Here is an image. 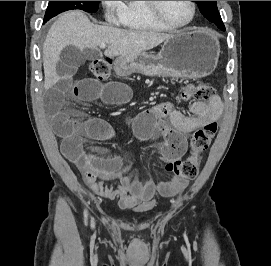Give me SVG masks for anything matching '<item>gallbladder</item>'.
<instances>
[{
    "instance_id": "obj_1",
    "label": "gallbladder",
    "mask_w": 271,
    "mask_h": 266,
    "mask_svg": "<svg viewBox=\"0 0 271 266\" xmlns=\"http://www.w3.org/2000/svg\"><path fill=\"white\" fill-rule=\"evenodd\" d=\"M99 57L100 54L95 50L85 49L84 51H81L76 46L69 45L66 46L60 54V60L56 65V71L60 76L70 78L86 60H94Z\"/></svg>"
}]
</instances>
